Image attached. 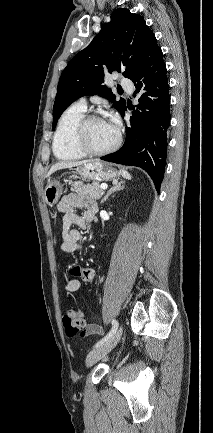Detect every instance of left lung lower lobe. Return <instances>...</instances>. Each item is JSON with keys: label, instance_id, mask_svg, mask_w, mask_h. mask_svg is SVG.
<instances>
[{"label": "left lung lower lobe", "instance_id": "0a47b994", "mask_svg": "<svg viewBox=\"0 0 213 433\" xmlns=\"http://www.w3.org/2000/svg\"><path fill=\"white\" fill-rule=\"evenodd\" d=\"M163 53L158 47L144 66L131 78L139 104L133 108L126 126L124 145L115 153L100 159L117 164L137 166L152 178L156 190L164 177L170 124V95ZM126 105L121 112L124 116Z\"/></svg>", "mask_w": 213, "mask_h": 433}]
</instances>
